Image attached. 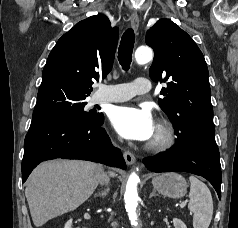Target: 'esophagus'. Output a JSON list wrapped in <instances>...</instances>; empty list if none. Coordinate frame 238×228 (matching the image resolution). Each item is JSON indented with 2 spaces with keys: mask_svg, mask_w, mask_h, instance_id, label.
I'll return each mask as SVG.
<instances>
[{
  "mask_svg": "<svg viewBox=\"0 0 238 228\" xmlns=\"http://www.w3.org/2000/svg\"><path fill=\"white\" fill-rule=\"evenodd\" d=\"M130 20H131L132 28L134 29V31H137L139 28V24H140V20H139L137 12H135V11L132 12ZM124 159L128 165H132L135 162V156L130 151L124 152Z\"/></svg>",
  "mask_w": 238,
  "mask_h": 228,
  "instance_id": "obj_1",
  "label": "esophagus"
}]
</instances>
